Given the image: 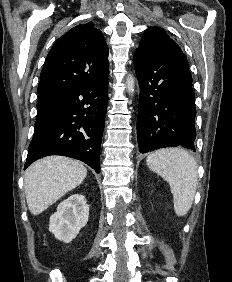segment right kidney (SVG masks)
Masks as SVG:
<instances>
[{"instance_id":"1","label":"right kidney","mask_w":232,"mask_h":282,"mask_svg":"<svg viewBox=\"0 0 232 282\" xmlns=\"http://www.w3.org/2000/svg\"><path fill=\"white\" fill-rule=\"evenodd\" d=\"M89 218V206L83 195L73 194L61 202L50 217L49 231L65 243L71 242Z\"/></svg>"}]
</instances>
